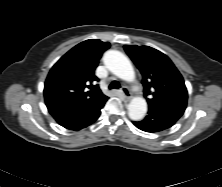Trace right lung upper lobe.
I'll use <instances>...</instances> for the list:
<instances>
[{
	"mask_svg": "<svg viewBox=\"0 0 222 187\" xmlns=\"http://www.w3.org/2000/svg\"><path fill=\"white\" fill-rule=\"evenodd\" d=\"M108 42L89 39L73 47L50 70L44 87L45 102L88 108L107 101L94 71Z\"/></svg>",
	"mask_w": 222,
	"mask_h": 187,
	"instance_id": "1",
	"label": "right lung upper lobe"
}]
</instances>
